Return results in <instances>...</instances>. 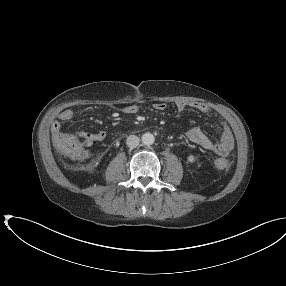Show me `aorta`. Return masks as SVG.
Here are the masks:
<instances>
[{"mask_svg": "<svg viewBox=\"0 0 286 286\" xmlns=\"http://www.w3.org/2000/svg\"><path fill=\"white\" fill-rule=\"evenodd\" d=\"M155 137L152 133L146 132L142 135V143L146 146H150L154 143Z\"/></svg>", "mask_w": 286, "mask_h": 286, "instance_id": "aorta-1", "label": "aorta"}]
</instances>
